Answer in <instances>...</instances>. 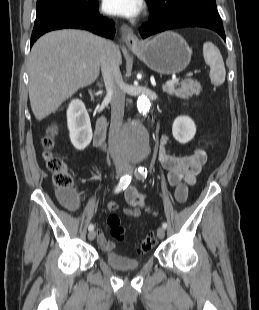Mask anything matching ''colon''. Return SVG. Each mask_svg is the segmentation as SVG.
Instances as JSON below:
<instances>
[{"mask_svg":"<svg viewBox=\"0 0 259 310\" xmlns=\"http://www.w3.org/2000/svg\"><path fill=\"white\" fill-rule=\"evenodd\" d=\"M56 133V126H51L47 135L43 138V147L45 148L44 159L48 169L53 173L55 186L59 190L62 201L69 207H75L78 204V197L73 192V178L62 158L55 156L51 149L53 147V136ZM107 225L110 228L111 236L117 240H123L126 236L125 228L121 224L120 217L115 214H109ZM156 244V238L153 234L146 236L139 244V253H148Z\"/></svg>","mask_w":259,"mask_h":310,"instance_id":"1","label":"colon"}]
</instances>
